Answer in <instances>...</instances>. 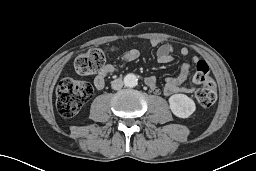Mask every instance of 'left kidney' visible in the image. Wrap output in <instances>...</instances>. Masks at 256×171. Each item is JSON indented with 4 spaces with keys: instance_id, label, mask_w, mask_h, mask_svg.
Segmentation results:
<instances>
[{
    "instance_id": "1",
    "label": "left kidney",
    "mask_w": 256,
    "mask_h": 171,
    "mask_svg": "<svg viewBox=\"0 0 256 171\" xmlns=\"http://www.w3.org/2000/svg\"><path fill=\"white\" fill-rule=\"evenodd\" d=\"M170 109L179 118H188L196 110L194 101L185 94H174L169 98Z\"/></svg>"
}]
</instances>
